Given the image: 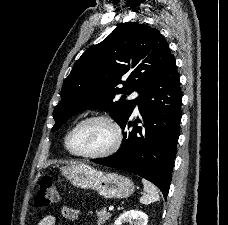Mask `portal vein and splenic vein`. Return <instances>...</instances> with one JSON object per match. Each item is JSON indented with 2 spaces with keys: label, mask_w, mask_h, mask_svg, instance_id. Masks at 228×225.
I'll return each instance as SVG.
<instances>
[{
  "label": "portal vein and splenic vein",
  "mask_w": 228,
  "mask_h": 225,
  "mask_svg": "<svg viewBox=\"0 0 228 225\" xmlns=\"http://www.w3.org/2000/svg\"><path fill=\"white\" fill-rule=\"evenodd\" d=\"M113 208H114V205L113 204H110L109 205V211H113Z\"/></svg>",
  "instance_id": "18ae733b"
}]
</instances>
